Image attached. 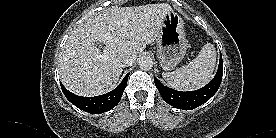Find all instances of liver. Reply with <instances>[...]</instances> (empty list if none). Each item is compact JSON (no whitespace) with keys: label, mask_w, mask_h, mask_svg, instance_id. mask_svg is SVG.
Returning a JSON list of instances; mask_svg holds the SVG:
<instances>
[{"label":"liver","mask_w":276,"mask_h":138,"mask_svg":"<svg viewBox=\"0 0 276 138\" xmlns=\"http://www.w3.org/2000/svg\"><path fill=\"white\" fill-rule=\"evenodd\" d=\"M167 3L113 7L80 24L68 37L59 59V75L72 93L92 97L114 89L123 55L137 57L158 38ZM104 45L101 51L96 43ZM136 60V59H135Z\"/></svg>","instance_id":"liver-1"}]
</instances>
